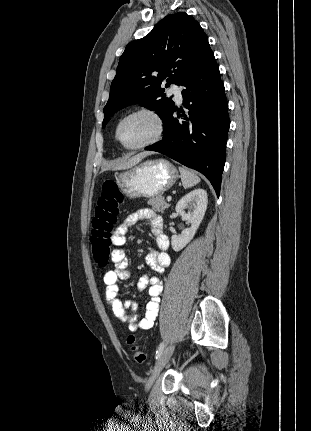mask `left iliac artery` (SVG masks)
<instances>
[{"label":"left iliac artery","mask_w":311,"mask_h":431,"mask_svg":"<svg viewBox=\"0 0 311 431\" xmlns=\"http://www.w3.org/2000/svg\"><path fill=\"white\" fill-rule=\"evenodd\" d=\"M164 346H165L164 342L160 343V345H159V347H158V349L156 351V359H158L161 356V354H162V352L164 350Z\"/></svg>","instance_id":"1"}]
</instances>
